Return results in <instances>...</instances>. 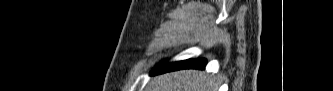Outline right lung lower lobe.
Listing matches in <instances>:
<instances>
[{
  "instance_id": "1",
  "label": "right lung lower lobe",
  "mask_w": 333,
  "mask_h": 91,
  "mask_svg": "<svg viewBox=\"0 0 333 91\" xmlns=\"http://www.w3.org/2000/svg\"><path fill=\"white\" fill-rule=\"evenodd\" d=\"M206 65V60L204 59H189L173 63H164L156 67L151 75H156L164 72L175 71L180 69H203Z\"/></svg>"
}]
</instances>
